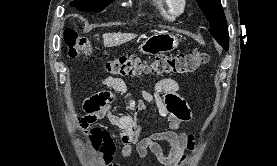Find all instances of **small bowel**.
Wrapping results in <instances>:
<instances>
[{
  "mask_svg": "<svg viewBox=\"0 0 277 166\" xmlns=\"http://www.w3.org/2000/svg\"><path fill=\"white\" fill-rule=\"evenodd\" d=\"M101 86L106 89L84 101L85 115L82 116L80 126L88 128L96 121L107 118L110 124L120 131L119 140L126 159L134 150L141 159L149 161L152 157L163 166L185 164L186 152L194 151L195 142L192 134L178 132L181 124L191 119V111L178 95V84L175 80L170 78L160 80L153 93L142 90L139 100L132 96L126 82L120 78L107 77L101 81ZM114 93L125 96L128 114L111 113L110 104L114 100ZM148 107L159 119L165 121L167 129L142 137L143 123L139 116ZM89 142L102 165L118 166L113 162L116 144L109 131L101 128L92 129ZM160 142L169 144L168 154H164Z\"/></svg>",
  "mask_w": 277,
  "mask_h": 166,
  "instance_id": "obj_1",
  "label": "small bowel"
}]
</instances>
